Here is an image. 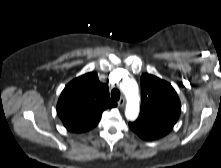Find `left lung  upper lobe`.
I'll return each mask as SVG.
<instances>
[{
  "label": "left lung upper lobe",
  "instance_id": "5c2ea615",
  "mask_svg": "<svg viewBox=\"0 0 221 168\" xmlns=\"http://www.w3.org/2000/svg\"><path fill=\"white\" fill-rule=\"evenodd\" d=\"M141 111L129 127L144 140L159 139L168 134L181 112L179 97L171 84L160 78L143 74Z\"/></svg>",
  "mask_w": 221,
  "mask_h": 168
}]
</instances>
